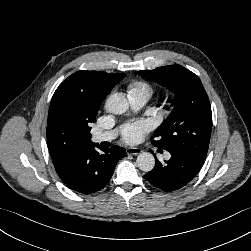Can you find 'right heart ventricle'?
Returning a JSON list of instances; mask_svg holds the SVG:
<instances>
[{"label": "right heart ventricle", "mask_w": 251, "mask_h": 251, "mask_svg": "<svg viewBox=\"0 0 251 251\" xmlns=\"http://www.w3.org/2000/svg\"><path fill=\"white\" fill-rule=\"evenodd\" d=\"M132 92H145L149 95V97L152 95L153 93V89L152 87L147 84V83H144V82H137V83H134L130 86L129 88V93H132Z\"/></svg>", "instance_id": "1"}]
</instances>
